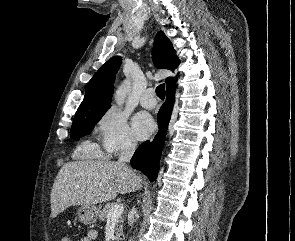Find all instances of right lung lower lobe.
<instances>
[{"mask_svg":"<svg viewBox=\"0 0 295 241\" xmlns=\"http://www.w3.org/2000/svg\"><path fill=\"white\" fill-rule=\"evenodd\" d=\"M175 101V84L169 85L166 90V102L158 112L157 120L159 132L153 142L142 143L135 151L131 165L133 168L144 173L152 182L157 178L159 160L167 133L171 111Z\"/></svg>","mask_w":295,"mask_h":241,"instance_id":"obj_1","label":"right lung lower lobe"}]
</instances>
